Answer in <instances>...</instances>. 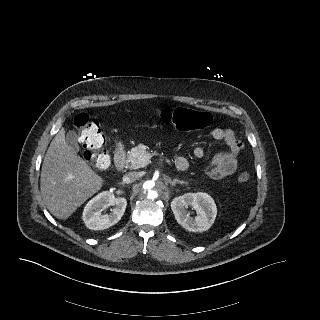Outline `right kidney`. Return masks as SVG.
<instances>
[{
    "label": "right kidney",
    "mask_w": 320,
    "mask_h": 320,
    "mask_svg": "<svg viewBox=\"0 0 320 320\" xmlns=\"http://www.w3.org/2000/svg\"><path fill=\"white\" fill-rule=\"evenodd\" d=\"M127 201L125 198H115L113 194L104 191L92 198L83 210V221L88 229L104 230L116 224L123 216ZM114 206L109 214L102 211Z\"/></svg>",
    "instance_id": "1"
}]
</instances>
